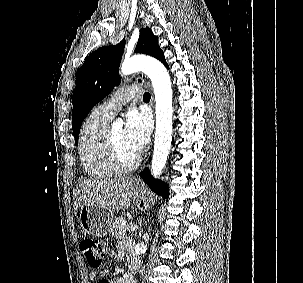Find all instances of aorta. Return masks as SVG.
Segmentation results:
<instances>
[{
	"instance_id": "obj_1",
	"label": "aorta",
	"mask_w": 303,
	"mask_h": 283,
	"mask_svg": "<svg viewBox=\"0 0 303 283\" xmlns=\"http://www.w3.org/2000/svg\"><path fill=\"white\" fill-rule=\"evenodd\" d=\"M138 71H142L150 78L155 93L156 130L151 172L157 178L165 167L171 148L173 115L171 81L165 66L155 58L138 55L123 61L121 65L123 75Z\"/></svg>"
}]
</instances>
